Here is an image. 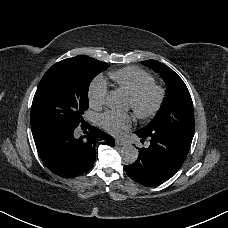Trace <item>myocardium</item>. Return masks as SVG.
I'll return each mask as SVG.
<instances>
[{
  "instance_id": "1",
  "label": "myocardium",
  "mask_w": 228,
  "mask_h": 228,
  "mask_svg": "<svg viewBox=\"0 0 228 228\" xmlns=\"http://www.w3.org/2000/svg\"><path fill=\"white\" fill-rule=\"evenodd\" d=\"M152 98L149 108H145L148 99ZM164 99L163 90L155 85H151L140 92L132 95L130 98L132 112L141 119H150L155 117L160 111Z\"/></svg>"
}]
</instances>
